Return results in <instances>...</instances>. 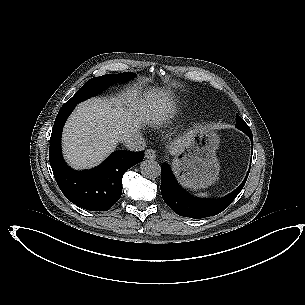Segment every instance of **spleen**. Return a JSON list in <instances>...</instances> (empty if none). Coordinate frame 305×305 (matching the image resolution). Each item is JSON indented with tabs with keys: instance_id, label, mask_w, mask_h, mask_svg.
Here are the masks:
<instances>
[{
	"instance_id": "obj_1",
	"label": "spleen",
	"mask_w": 305,
	"mask_h": 305,
	"mask_svg": "<svg viewBox=\"0 0 305 305\" xmlns=\"http://www.w3.org/2000/svg\"><path fill=\"white\" fill-rule=\"evenodd\" d=\"M197 197H208V194L207 193H198V194H195Z\"/></svg>"
}]
</instances>
